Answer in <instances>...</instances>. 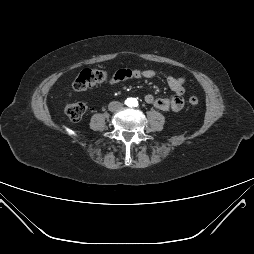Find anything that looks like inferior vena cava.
I'll list each match as a JSON object with an SVG mask.
<instances>
[{
  "label": "inferior vena cava",
  "instance_id": "602c4592",
  "mask_svg": "<svg viewBox=\"0 0 254 254\" xmlns=\"http://www.w3.org/2000/svg\"><path fill=\"white\" fill-rule=\"evenodd\" d=\"M122 106H123L122 103L115 101V102H111V103L109 104V109H110V110H115V109L121 108Z\"/></svg>",
  "mask_w": 254,
  "mask_h": 254
}]
</instances>
